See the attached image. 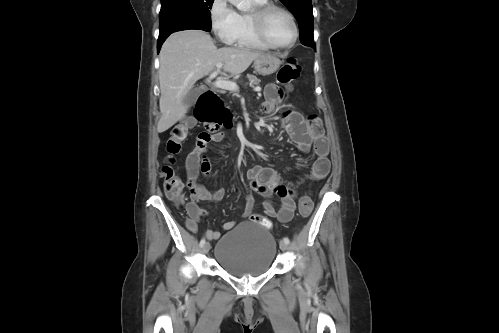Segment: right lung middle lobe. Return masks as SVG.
Masks as SVG:
<instances>
[{
	"label": "right lung middle lobe",
	"instance_id": "obj_1",
	"mask_svg": "<svg viewBox=\"0 0 499 333\" xmlns=\"http://www.w3.org/2000/svg\"><path fill=\"white\" fill-rule=\"evenodd\" d=\"M214 0H161L160 34L186 29L211 30L210 9Z\"/></svg>",
	"mask_w": 499,
	"mask_h": 333
}]
</instances>
